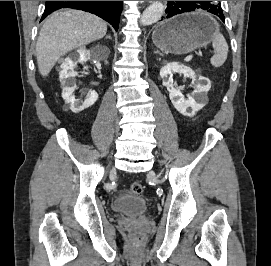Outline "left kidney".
I'll use <instances>...</instances> for the list:
<instances>
[{
  "instance_id": "obj_1",
  "label": "left kidney",
  "mask_w": 271,
  "mask_h": 266,
  "mask_svg": "<svg viewBox=\"0 0 271 266\" xmlns=\"http://www.w3.org/2000/svg\"><path fill=\"white\" fill-rule=\"evenodd\" d=\"M173 73L183 74L185 77L191 78L194 83L196 79L195 72L191 68L177 62L169 63L160 70V76L163 79L162 84L169 91V97L175 109L184 116L192 117L205 106V103L199 102L198 99L205 96L211 86L209 82L204 84L203 81H206V78L202 77L199 79L200 83L195 86L194 94L185 99L182 92L173 85Z\"/></svg>"
}]
</instances>
